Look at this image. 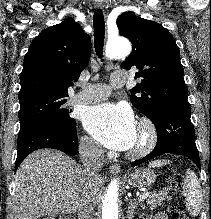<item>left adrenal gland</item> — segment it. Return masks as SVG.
<instances>
[{
    "mask_svg": "<svg viewBox=\"0 0 211 219\" xmlns=\"http://www.w3.org/2000/svg\"><path fill=\"white\" fill-rule=\"evenodd\" d=\"M137 207H138V203L135 202V200H130L128 210H127V219L134 218L135 210L137 209Z\"/></svg>",
    "mask_w": 211,
    "mask_h": 219,
    "instance_id": "1",
    "label": "left adrenal gland"
}]
</instances>
